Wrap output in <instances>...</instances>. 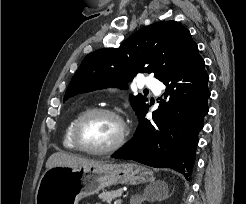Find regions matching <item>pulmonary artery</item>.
<instances>
[{
	"label": "pulmonary artery",
	"mask_w": 246,
	"mask_h": 204,
	"mask_svg": "<svg viewBox=\"0 0 246 204\" xmlns=\"http://www.w3.org/2000/svg\"><path fill=\"white\" fill-rule=\"evenodd\" d=\"M143 86L152 90L155 94H159L162 89L161 83L152 77H146L143 81Z\"/></svg>",
	"instance_id": "e3ab8cb5"
}]
</instances>
